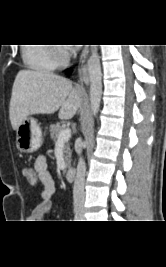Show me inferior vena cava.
<instances>
[{
  "label": "inferior vena cava",
  "mask_w": 166,
  "mask_h": 267,
  "mask_svg": "<svg viewBox=\"0 0 166 267\" xmlns=\"http://www.w3.org/2000/svg\"><path fill=\"white\" fill-rule=\"evenodd\" d=\"M81 152H79V155ZM86 165L80 157L77 165V173L73 186V204L75 210H80L84 205V182H85Z\"/></svg>",
  "instance_id": "inferior-vena-cava-1"
}]
</instances>
